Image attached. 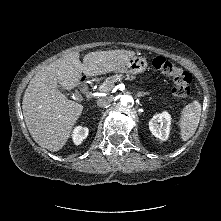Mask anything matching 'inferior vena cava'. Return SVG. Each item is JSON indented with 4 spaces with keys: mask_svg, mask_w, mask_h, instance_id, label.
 <instances>
[{
    "mask_svg": "<svg viewBox=\"0 0 221 221\" xmlns=\"http://www.w3.org/2000/svg\"><path fill=\"white\" fill-rule=\"evenodd\" d=\"M112 102L111 97H101L97 100V106L104 108L107 107Z\"/></svg>",
    "mask_w": 221,
    "mask_h": 221,
    "instance_id": "602c4592",
    "label": "inferior vena cava"
}]
</instances>
